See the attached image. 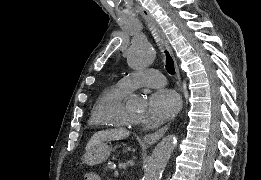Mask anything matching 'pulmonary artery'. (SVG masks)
<instances>
[{
  "label": "pulmonary artery",
  "instance_id": "e3ab8cb5",
  "mask_svg": "<svg viewBox=\"0 0 261 180\" xmlns=\"http://www.w3.org/2000/svg\"><path fill=\"white\" fill-rule=\"evenodd\" d=\"M164 76L155 69H142L141 73H128L118 80V85L126 92L133 88L154 89L159 88Z\"/></svg>",
  "mask_w": 261,
  "mask_h": 180
}]
</instances>
